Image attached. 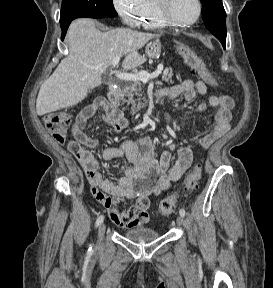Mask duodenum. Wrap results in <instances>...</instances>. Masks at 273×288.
Wrapping results in <instances>:
<instances>
[{
    "mask_svg": "<svg viewBox=\"0 0 273 288\" xmlns=\"http://www.w3.org/2000/svg\"><path fill=\"white\" fill-rule=\"evenodd\" d=\"M121 97V91L119 88L113 87L108 91V106H106V111L109 115H112L115 113L118 109L119 101ZM161 97H163V92L160 91L156 94V100H160ZM100 105H102V102H98ZM147 105L141 107L140 109H146Z\"/></svg>",
    "mask_w": 273,
    "mask_h": 288,
    "instance_id": "duodenum-1",
    "label": "duodenum"
}]
</instances>
